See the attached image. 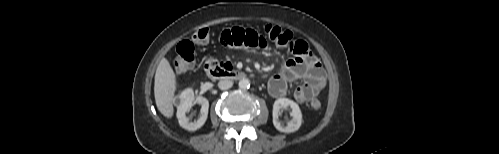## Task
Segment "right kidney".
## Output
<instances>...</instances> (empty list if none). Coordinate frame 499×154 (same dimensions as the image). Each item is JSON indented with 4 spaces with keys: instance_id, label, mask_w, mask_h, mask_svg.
<instances>
[{
    "instance_id": "right-kidney-1",
    "label": "right kidney",
    "mask_w": 499,
    "mask_h": 154,
    "mask_svg": "<svg viewBox=\"0 0 499 154\" xmlns=\"http://www.w3.org/2000/svg\"><path fill=\"white\" fill-rule=\"evenodd\" d=\"M177 101V118L180 126L189 131H195L201 128L207 120L209 109L208 100L204 97L195 98L193 90L186 89L177 97ZM195 102L201 105L200 117L197 121L190 122L186 117V113L190 110L191 106Z\"/></svg>"
}]
</instances>
